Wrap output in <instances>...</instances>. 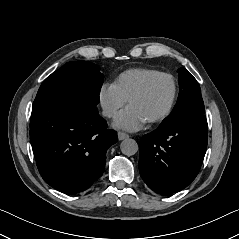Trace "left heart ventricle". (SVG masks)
Returning <instances> with one entry per match:
<instances>
[{"instance_id": "b2bd125f", "label": "left heart ventricle", "mask_w": 239, "mask_h": 239, "mask_svg": "<svg viewBox=\"0 0 239 239\" xmlns=\"http://www.w3.org/2000/svg\"><path fill=\"white\" fill-rule=\"evenodd\" d=\"M171 93V82L167 78H160L154 81L146 92L129 106L134 108L147 121L166 108Z\"/></svg>"}]
</instances>
